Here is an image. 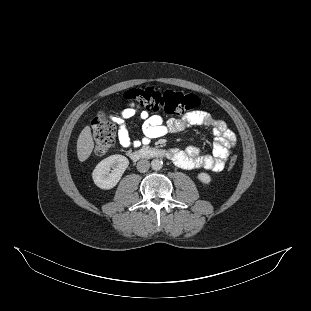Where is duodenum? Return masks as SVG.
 <instances>
[{"instance_id": "obj_1", "label": "duodenum", "mask_w": 311, "mask_h": 311, "mask_svg": "<svg viewBox=\"0 0 311 311\" xmlns=\"http://www.w3.org/2000/svg\"><path fill=\"white\" fill-rule=\"evenodd\" d=\"M128 156L133 161H139L142 159L170 158L171 153L162 148L143 147L138 150L129 151Z\"/></svg>"}]
</instances>
